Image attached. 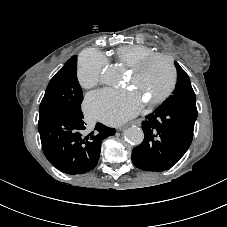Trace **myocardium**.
<instances>
[{"instance_id": "f54148a6", "label": "myocardium", "mask_w": 227, "mask_h": 227, "mask_svg": "<svg viewBox=\"0 0 227 227\" xmlns=\"http://www.w3.org/2000/svg\"><path fill=\"white\" fill-rule=\"evenodd\" d=\"M159 58L164 59L168 63L170 71H171V81H170L168 88L159 97L148 101V105H150V106H156V105L163 103L165 100H167L169 98V96L173 93V91L176 87L177 70H176V66L174 64L173 59L167 54L154 53V54L143 57L142 59H140L139 61H137L136 63L132 64L129 67L131 72L140 73L152 61L159 59Z\"/></svg>"}]
</instances>
